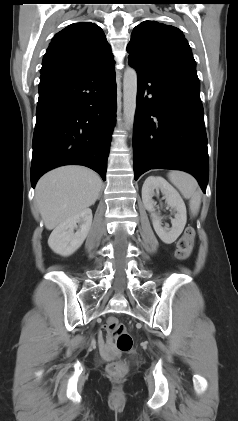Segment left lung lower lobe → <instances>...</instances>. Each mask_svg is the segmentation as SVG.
<instances>
[{
  "label": "left lung lower lobe",
  "instance_id": "left-lung-lower-lobe-1",
  "mask_svg": "<svg viewBox=\"0 0 238 421\" xmlns=\"http://www.w3.org/2000/svg\"><path fill=\"white\" fill-rule=\"evenodd\" d=\"M129 65L138 74L133 130L135 180L150 169H178L191 173L205 193L207 136L196 70L152 73L131 62Z\"/></svg>",
  "mask_w": 238,
  "mask_h": 421
}]
</instances>
